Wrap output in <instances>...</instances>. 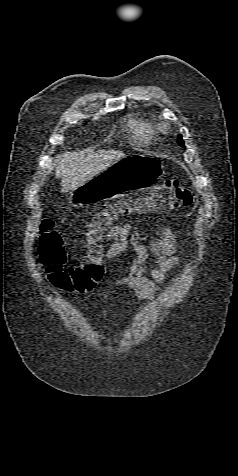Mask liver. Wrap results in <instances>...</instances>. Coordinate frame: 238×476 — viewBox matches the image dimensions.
Segmentation results:
<instances>
[{"label": "liver", "mask_w": 238, "mask_h": 476, "mask_svg": "<svg viewBox=\"0 0 238 476\" xmlns=\"http://www.w3.org/2000/svg\"><path fill=\"white\" fill-rule=\"evenodd\" d=\"M125 157L123 152L115 150H100L87 154L65 152L55 159V176L61 178L62 191L69 192Z\"/></svg>", "instance_id": "liver-1"}]
</instances>
